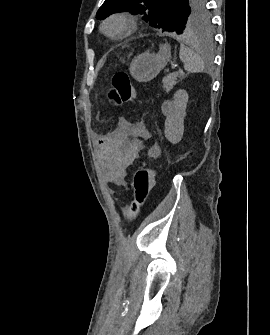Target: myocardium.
<instances>
[{
  "label": "myocardium",
  "instance_id": "myocardium-1",
  "mask_svg": "<svg viewBox=\"0 0 270 335\" xmlns=\"http://www.w3.org/2000/svg\"><path fill=\"white\" fill-rule=\"evenodd\" d=\"M112 24H119L122 27L121 32L113 34L109 31V27ZM137 27V21L135 18L125 13H115L108 17L102 24V32L111 39H121L130 35ZM141 78V77H137Z\"/></svg>",
  "mask_w": 270,
  "mask_h": 335
}]
</instances>
